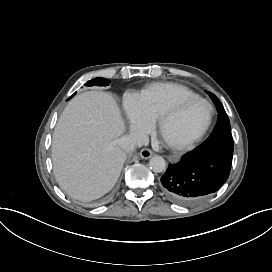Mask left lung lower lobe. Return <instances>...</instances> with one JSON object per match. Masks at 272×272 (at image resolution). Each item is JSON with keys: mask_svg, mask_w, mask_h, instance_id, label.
<instances>
[{"mask_svg": "<svg viewBox=\"0 0 272 272\" xmlns=\"http://www.w3.org/2000/svg\"><path fill=\"white\" fill-rule=\"evenodd\" d=\"M233 151L198 149L169 165L161 177V189L173 202L192 205L216 192L228 179Z\"/></svg>", "mask_w": 272, "mask_h": 272, "instance_id": "1", "label": "left lung lower lobe"}]
</instances>
